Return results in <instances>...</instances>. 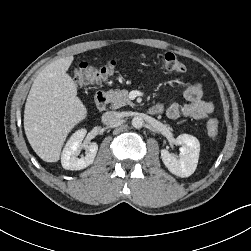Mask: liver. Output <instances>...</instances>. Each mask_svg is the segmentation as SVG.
I'll list each match as a JSON object with an SVG mask.
<instances>
[{
    "instance_id": "6515ba94",
    "label": "liver",
    "mask_w": 251,
    "mask_h": 251,
    "mask_svg": "<svg viewBox=\"0 0 251 251\" xmlns=\"http://www.w3.org/2000/svg\"><path fill=\"white\" fill-rule=\"evenodd\" d=\"M74 57L46 66L34 80L24 110L26 137L46 162H57L68 133L87 117L77 86L67 73Z\"/></svg>"
}]
</instances>
